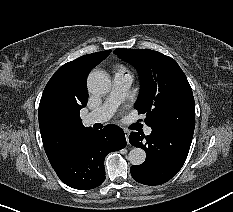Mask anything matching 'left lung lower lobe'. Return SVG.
<instances>
[{"instance_id": "1", "label": "left lung lower lobe", "mask_w": 233, "mask_h": 212, "mask_svg": "<svg viewBox=\"0 0 233 212\" xmlns=\"http://www.w3.org/2000/svg\"><path fill=\"white\" fill-rule=\"evenodd\" d=\"M193 134L171 130H152L145 136L132 132L130 143L146 152V161L132 166L131 175L139 183L160 185L174 177L183 166Z\"/></svg>"}]
</instances>
